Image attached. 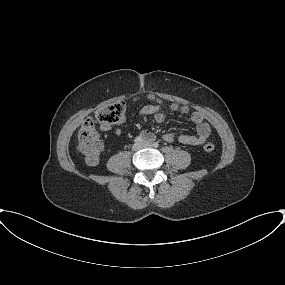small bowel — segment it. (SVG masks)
I'll return each instance as SVG.
<instances>
[{
	"label": "small bowel",
	"mask_w": 285,
	"mask_h": 285,
	"mask_svg": "<svg viewBox=\"0 0 285 285\" xmlns=\"http://www.w3.org/2000/svg\"><path fill=\"white\" fill-rule=\"evenodd\" d=\"M147 99L150 101H154L155 103L153 104H147L143 106L140 110V115L141 116H152L154 121L156 123H162L164 122L166 118V112L161 106V101L157 99L153 95H148ZM137 100V99H134ZM196 123V134H179L175 135L174 133L167 132L163 135V139L166 142H174L175 140L179 141L182 144L185 145H201L203 144L209 137L210 135V125L207 121H205L202 117L199 120H195ZM125 122V116L121 118V120L117 123V128L115 130V133L119 136L121 135V126ZM103 130H108L110 127L109 126H101ZM142 137L143 140H149L152 141L154 140V134L149 132V131H143L139 135Z\"/></svg>",
	"instance_id": "small-bowel-1"
}]
</instances>
